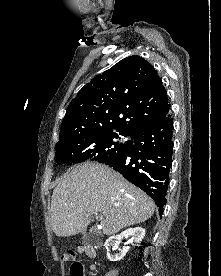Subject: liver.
Instances as JSON below:
<instances>
[{
    "label": "liver",
    "mask_w": 221,
    "mask_h": 276,
    "mask_svg": "<svg viewBox=\"0 0 221 276\" xmlns=\"http://www.w3.org/2000/svg\"><path fill=\"white\" fill-rule=\"evenodd\" d=\"M154 201L110 167L86 162L75 166L53 190L50 208L52 231L58 237L83 232L93 215H102L103 234L149 219Z\"/></svg>",
    "instance_id": "6515ba94"
}]
</instances>
